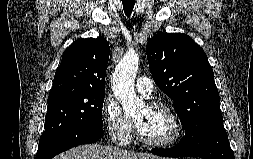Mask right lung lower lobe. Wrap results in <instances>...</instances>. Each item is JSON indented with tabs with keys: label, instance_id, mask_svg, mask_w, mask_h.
Returning a JSON list of instances; mask_svg holds the SVG:
<instances>
[{
	"label": "right lung lower lobe",
	"instance_id": "right-lung-lower-lobe-1",
	"mask_svg": "<svg viewBox=\"0 0 253 159\" xmlns=\"http://www.w3.org/2000/svg\"><path fill=\"white\" fill-rule=\"evenodd\" d=\"M103 135L102 129H81L59 137L38 149L35 159H52L57 154L74 146L96 142Z\"/></svg>",
	"mask_w": 253,
	"mask_h": 159
}]
</instances>
